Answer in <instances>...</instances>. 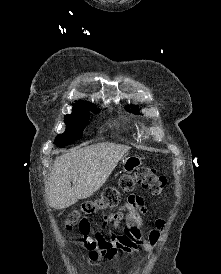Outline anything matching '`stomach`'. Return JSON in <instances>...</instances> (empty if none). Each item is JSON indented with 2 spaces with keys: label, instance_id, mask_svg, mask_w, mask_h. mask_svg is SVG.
Returning <instances> with one entry per match:
<instances>
[{
  "label": "stomach",
  "instance_id": "0dacf381",
  "mask_svg": "<svg viewBox=\"0 0 221 274\" xmlns=\"http://www.w3.org/2000/svg\"><path fill=\"white\" fill-rule=\"evenodd\" d=\"M142 164L141 158L138 156H128L122 161V170L126 173L133 172Z\"/></svg>",
  "mask_w": 221,
  "mask_h": 274
}]
</instances>
